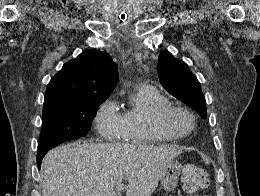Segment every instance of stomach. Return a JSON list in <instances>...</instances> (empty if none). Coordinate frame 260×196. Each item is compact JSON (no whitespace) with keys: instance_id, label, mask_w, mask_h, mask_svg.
I'll return each mask as SVG.
<instances>
[{"instance_id":"obj_1","label":"stomach","mask_w":260,"mask_h":196,"mask_svg":"<svg viewBox=\"0 0 260 196\" xmlns=\"http://www.w3.org/2000/svg\"><path fill=\"white\" fill-rule=\"evenodd\" d=\"M181 168L182 166L178 160H172L167 168H165V172L162 178H160L161 186L165 192H173L177 188Z\"/></svg>"}]
</instances>
